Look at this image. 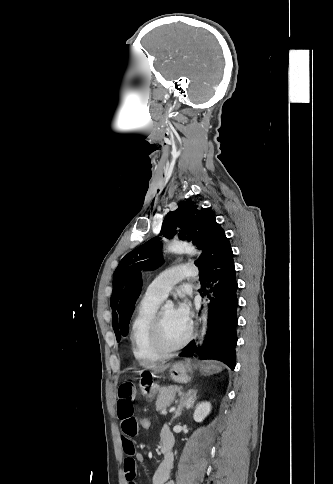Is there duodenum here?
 <instances>
[{"instance_id": "410a0bca", "label": "duodenum", "mask_w": 333, "mask_h": 484, "mask_svg": "<svg viewBox=\"0 0 333 484\" xmlns=\"http://www.w3.org/2000/svg\"><path fill=\"white\" fill-rule=\"evenodd\" d=\"M172 447H173L172 444L167 442L161 444V451L164 456V462L170 461L171 455H172Z\"/></svg>"}]
</instances>
